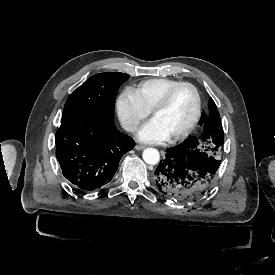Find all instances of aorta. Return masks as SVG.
I'll return each instance as SVG.
<instances>
[{
    "label": "aorta",
    "instance_id": "1",
    "mask_svg": "<svg viewBox=\"0 0 275 275\" xmlns=\"http://www.w3.org/2000/svg\"><path fill=\"white\" fill-rule=\"evenodd\" d=\"M143 160L150 165H155L160 160L159 151L155 148H146L142 153Z\"/></svg>",
    "mask_w": 275,
    "mask_h": 275
}]
</instances>
